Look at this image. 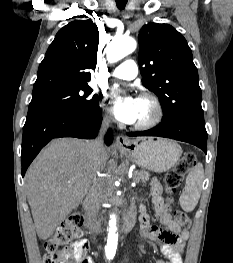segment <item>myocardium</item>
Listing matches in <instances>:
<instances>
[{
	"mask_svg": "<svg viewBox=\"0 0 233 263\" xmlns=\"http://www.w3.org/2000/svg\"><path fill=\"white\" fill-rule=\"evenodd\" d=\"M140 99L147 101L151 105L152 115L146 120L136 122L133 128L136 130H147L161 122L164 116V109L158 97L152 93H143L140 95Z\"/></svg>",
	"mask_w": 233,
	"mask_h": 263,
	"instance_id": "f54148a6",
	"label": "myocardium"
}]
</instances>
